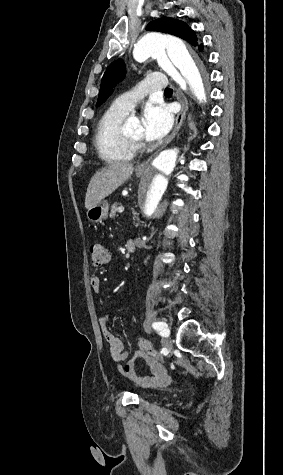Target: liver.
I'll return each instance as SVG.
<instances>
[{
	"label": "liver",
	"mask_w": 283,
	"mask_h": 475,
	"mask_svg": "<svg viewBox=\"0 0 283 475\" xmlns=\"http://www.w3.org/2000/svg\"><path fill=\"white\" fill-rule=\"evenodd\" d=\"M133 170V164H108L100 172H96L87 188L85 208L89 210L110 196L121 184L129 180Z\"/></svg>",
	"instance_id": "6515ba94"
}]
</instances>
